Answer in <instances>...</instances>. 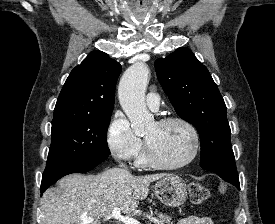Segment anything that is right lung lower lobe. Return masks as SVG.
I'll list each match as a JSON object with an SVG mask.
<instances>
[{
    "instance_id": "1",
    "label": "right lung lower lobe",
    "mask_w": 275,
    "mask_h": 224,
    "mask_svg": "<svg viewBox=\"0 0 275 224\" xmlns=\"http://www.w3.org/2000/svg\"><path fill=\"white\" fill-rule=\"evenodd\" d=\"M108 158V155H102L93 158L92 160H89L87 162L83 163H76L72 165H68L65 167H62L57 170H53L50 172H44L42 176V183H41V194L52 184H54L58 179L61 177L71 174V173H85L93 168H95L98 164L103 162Z\"/></svg>"
}]
</instances>
